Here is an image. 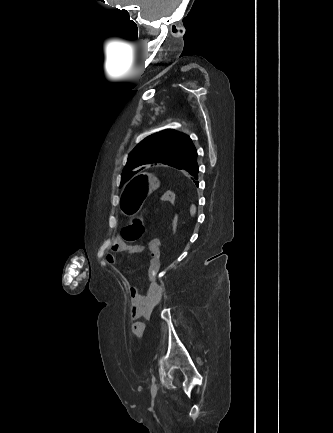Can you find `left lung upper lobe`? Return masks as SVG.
I'll return each instance as SVG.
<instances>
[{
    "mask_svg": "<svg viewBox=\"0 0 333 433\" xmlns=\"http://www.w3.org/2000/svg\"><path fill=\"white\" fill-rule=\"evenodd\" d=\"M196 159L197 151L189 136L172 129L154 133L129 154L121 176V186L147 164L161 163L183 169Z\"/></svg>",
    "mask_w": 333,
    "mask_h": 433,
    "instance_id": "5c2ea615",
    "label": "left lung upper lobe"
}]
</instances>
